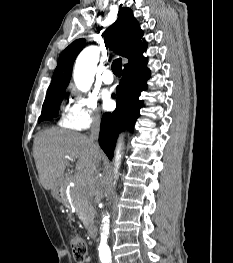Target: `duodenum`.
<instances>
[{"label":"duodenum","instance_id":"duodenum-1","mask_svg":"<svg viewBox=\"0 0 233 263\" xmlns=\"http://www.w3.org/2000/svg\"><path fill=\"white\" fill-rule=\"evenodd\" d=\"M89 236L92 238V239H96L97 238V229L94 225H91L89 227Z\"/></svg>","mask_w":233,"mask_h":263}]
</instances>
